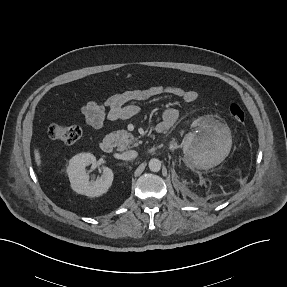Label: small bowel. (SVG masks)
<instances>
[{
    "instance_id": "c3829d8e",
    "label": "small bowel",
    "mask_w": 287,
    "mask_h": 287,
    "mask_svg": "<svg viewBox=\"0 0 287 287\" xmlns=\"http://www.w3.org/2000/svg\"><path fill=\"white\" fill-rule=\"evenodd\" d=\"M163 95L179 98L185 103H193L198 98L195 90L175 85L156 84L146 88L123 91L105 98L101 103L89 101L82 106L81 113L88 126L100 130L104 127L106 120L118 121L131 118L139 112L137 103ZM178 117L177 109L168 108L162 113L156 128L163 126L166 131L176 124Z\"/></svg>"
}]
</instances>
